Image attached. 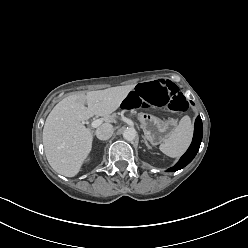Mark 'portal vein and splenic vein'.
<instances>
[{
    "label": "portal vein and splenic vein",
    "mask_w": 248,
    "mask_h": 248,
    "mask_svg": "<svg viewBox=\"0 0 248 248\" xmlns=\"http://www.w3.org/2000/svg\"><path fill=\"white\" fill-rule=\"evenodd\" d=\"M103 120L102 119H96L91 123V126L93 128H97L98 126H100L102 124Z\"/></svg>",
    "instance_id": "obj_1"
}]
</instances>
